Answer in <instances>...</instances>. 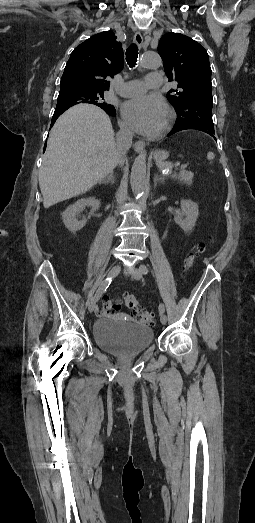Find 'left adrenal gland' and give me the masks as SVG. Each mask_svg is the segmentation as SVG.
<instances>
[{
	"mask_svg": "<svg viewBox=\"0 0 255 523\" xmlns=\"http://www.w3.org/2000/svg\"><path fill=\"white\" fill-rule=\"evenodd\" d=\"M157 182H164V178H159L158 174L154 176V188H157Z\"/></svg>",
	"mask_w": 255,
	"mask_h": 523,
	"instance_id": "1",
	"label": "left adrenal gland"
}]
</instances>
